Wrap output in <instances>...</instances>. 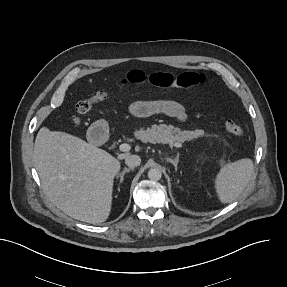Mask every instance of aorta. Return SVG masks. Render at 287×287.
I'll list each match as a JSON object with an SVG mask.
<instances>
[{"mask_svg":"<svg viewBox=\"0 0 287 287\" xmlns=\"http://www.w3.org/2000/svg\"><path fill=\"white\" fill-rule=\"evenodd\" d=\"M161 177H162V173H161V171L158 168H151L148 171V178L151 181H158V180L161 179Z\"/></svg>","mask_w":287,"mask_h":287,"instance_id":"obj_1","label":"aorta"}]
</instances>
